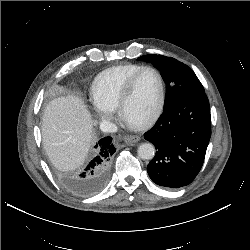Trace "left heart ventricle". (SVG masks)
Here are the masks:
<instances>
[{
  "label": "left heart ventricle",
  "mask_w": 250,
  "mask_h": 250,
  "mask_svg": "<svg viewBox=\"0 0 250 250\" xmlns=\"http://www.w3.org/2000/svg\"><path fill=\"white\" fill-rule=\"evenodd\" d=\"M159 94V83L152 71H144L137 78L123 110L124 118L134 124L142 121L153 110Z\"/></svg>",
  "instance_id": "1"
}]
</instances>
